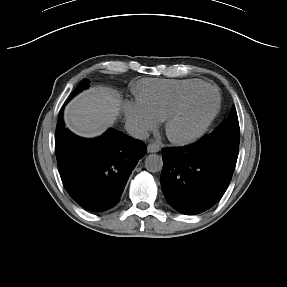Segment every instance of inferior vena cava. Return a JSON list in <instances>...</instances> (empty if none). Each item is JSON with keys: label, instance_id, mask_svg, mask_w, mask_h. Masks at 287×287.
<instances>
[{"label": "inferior vena cava", "instance_id": "inferior-vena-cava-1", "mask_svg": "<svg viewBox=\"0 0 287 287\" xmlns=\"http://www.w3.org/2000/svg\"><path fill=\"white\" fill-rule=\"evenodd\" d=\"M125 129L129 136L135 139H147L149 137V133L147 129L138 122L135 121H127L125 123Z\"/></svg>", "mask_w": 287, "mask_h": 287}]
</instances>
